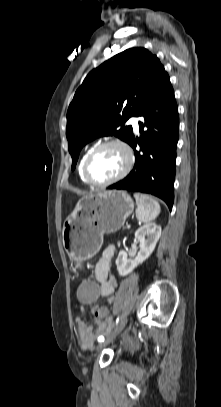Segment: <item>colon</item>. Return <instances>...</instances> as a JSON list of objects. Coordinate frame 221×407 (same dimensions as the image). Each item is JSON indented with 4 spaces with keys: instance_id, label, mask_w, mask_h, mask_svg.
<instances>
[{
    "instance_id": "obj_1",
    "label": "colon",
    "mask_w": 221,
    "mask_h": 407,
    "mask_svg": "<svg viewBox=\"0 0 221 407\" xmlns=\"http://www.w3.org/2000/svg\"><path fill=\"white\" fill-rule=\"evenodd\" d=\"M75 290L74 297L80 306H96L97 300H100L101 285L96 277H83L82 283H76ZM109 311L108 305H100L94 315L97 320H102L109 316Z\"/></svg>"
}]
</instances>
